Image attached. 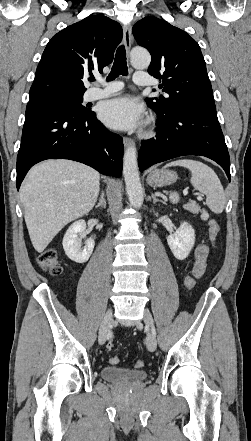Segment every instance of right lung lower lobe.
Segmentation results:
<instances>
[{
    "instance_id": "obj_1",
    "label": "right lung lower lobe",
    "mask_w": 251,
    "mask_h": 441,
    "mask_svg": "<svg viewBox=\"0 0 251 441\" xmlns=\"http://www.w3.org/2000/svg\"><path fill=\"white\" fill-rule=\"evenodd\" d=\"M123 140L108 131L95 112L80 115L41 102H28L17 156L16 186L46 159H70L104 175L122 174Z\"/></svg>"
}]
</instances>
